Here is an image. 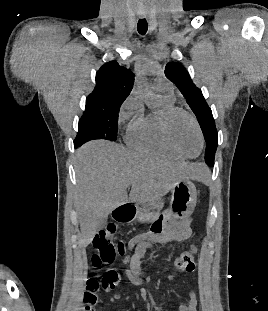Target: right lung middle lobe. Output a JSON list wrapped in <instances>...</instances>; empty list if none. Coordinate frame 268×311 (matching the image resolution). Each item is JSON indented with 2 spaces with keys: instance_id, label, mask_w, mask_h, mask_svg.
Wrapping results in <instances>:
<instances>
[{
  "instance_id": "obj_1",
  "label": "right lung middle lobe",
  "mask_w": 268,
  "mask_h": 311,
  "mask_svg": "<svg viewBox=\"0 0 268 311\" xmlns=\"http://www.w3.org/2000/svg\"><path fill=\"white\" fill-rule=\"evenodd\" d=\"M120 106L86 99V109L79 120L78 134L74 143L82 145L95 139L116 141Z\"/></svg>"
}]
</instances>
